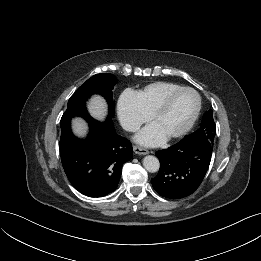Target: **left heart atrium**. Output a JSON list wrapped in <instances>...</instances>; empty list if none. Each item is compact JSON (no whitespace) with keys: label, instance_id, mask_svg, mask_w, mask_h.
Masks as SVG:
<instances>
[{"label":"left heart atrium","instance_id":"1","mask_svg":"<svg viewBox=\"0 0 261 261\" xmlns=\"http://www.w3.org/2000/svg\"><path fill=\"white\" fill-rule=\"evenodd\" d=\"M135 139L146 146H157L166 139V136L154 124H151L143 129Z\"/></svg>","mask_w":261,"mask_h":261}]
</instances>
